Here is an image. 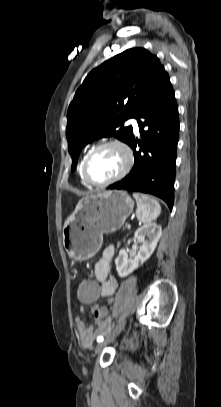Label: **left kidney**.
Here are the masks:
<instances>
[{
  "label": "left kidney",
  "instance_id": "obj_1",
  "mask_svg": "<svg viewBox=\"0 0 221 407\" xmlns=\"http://www.w3.org/2000/svg\"><path fill=\"white\" fill-rule=\"evenodd\" d=\"M162 235L161 226L155 223H149L138 230L134 234V241L141 243L140 249L134 258L128 259V249H121L115 260L116 270L121 278H124L142 265L154 252L157 243ZM147 236L148 240H145ZM131 240L128 241V244Z\"/></svg>",
  "mask_w": 221,
  "mask_h": 407
}]
</instances>
